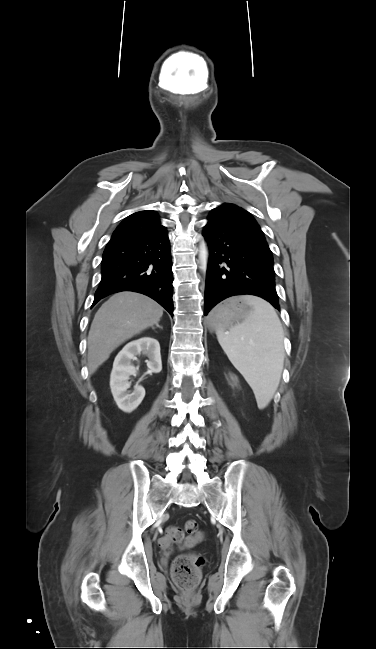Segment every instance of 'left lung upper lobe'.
I'll list each match as a JSON object with an SVG mask.
<instances>
[{
	"label": "left lung upper lobe",
	"instance_id": "obj_1",
	"mask_svg": "<svg viewBox=\"0 0 376 649\" xmlns=\"http://www.w3.org/2000/svg\"><path fill=\"white\" fill-rule=\"evenodd\" d=\"M210 215L236 222L264 237L259 225L250 213L234 204H223L222 206L213 209Z\"/></svg>",
	"mask_w": 376,
	"mask_h": 649
}]
</instances>
